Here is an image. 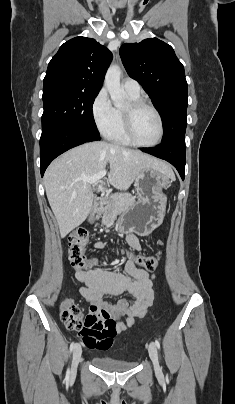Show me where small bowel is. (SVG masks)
<instances>
[{"mask_svg":"<svg viewBox=\"0 0 235 404\" xmlns=\"http://www.w3.org/2000/svg\"><path fill=\"white\" fill-rule=\"evenodd\" d=\"M129 245L140 250L139 240L134 235L128 237ZM94 247H103L102 243H95ZM127 275L113 273L97 267L90 269H77L76 279L82 284L80 294L86 298L90 314H105L114 322L113 332L116 334L131 327L136 318L144 316L154 303L152 289L155 276L142 267L128 260L125 263ZM130 294L134 298L133 303L126 299H120L115 303L106 300L109 296ZM126 316V322H116L115 319ZM79 335L84 345L90 349H106L110 343H105L99 333H87L84 328L79 329Z\"/></svg>","mask_w":235,"mask_h":404,"instance_id":"small-bowel-1","label":"small bowel"}]
</instances>
